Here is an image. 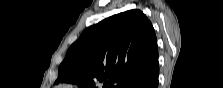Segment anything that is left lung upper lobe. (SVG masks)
<instances>
[{"mask_svg": "<svg viewBox=\"0 0 223 88\" xmlns=\"http://www.w3.org/2000/svg\"><path fill=\"white\" fill-rule=\"evenodd\" d=\"M158 61L154 28L140 10H129L88 27L69 48L59 82L79 88H128Z\"/></svg>", "mask_w": 223, "mask_h": 88, "instance_id": "1", "label": "left lung upper lobe"}]
</instances>
